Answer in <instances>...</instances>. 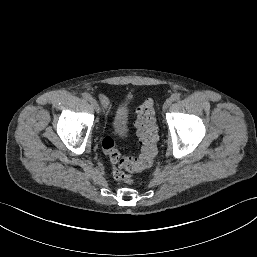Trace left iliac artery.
<instances>
[{
    "label": "left iliac artery",
    "mask_w": 257,
    "mask_h": 257,
    "mask_svg": "<svg viewBox=\"0 0 257 257\" xmlns=\"http://www.w3.org/2000/svg\"><path fill=\"white\" fill-rule=\"evenodd\" d=\"M172 101H178L180 99V94L179 93H174L171 95Z\"/></svg>",
    "instance_id": "44dca946"
}]
</instances>
